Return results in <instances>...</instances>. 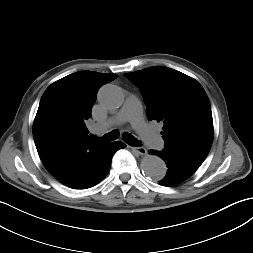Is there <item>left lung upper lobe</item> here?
Segmentation results:
<instances>
[{"instance_id":"1","label":"left lung upper lobe","mask_w":253,"mask_h":253,"mask_svg":"<svg viewBox=\"0 0 253 253\" xmlns=\"http://www.w3.org/2000/svg\"><path fill=\"white\" fill-rule=\"evenodd\" d=\"M144 96L149 121L163 123L165 149L206 158L214 136L209 99L193 78L154 66L124 74Z\"/></svg>"}]
</instances>
